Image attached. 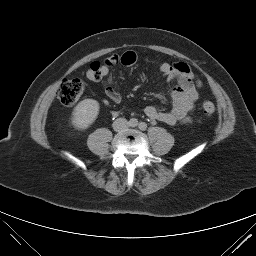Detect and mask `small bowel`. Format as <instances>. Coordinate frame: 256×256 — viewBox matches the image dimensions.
<instances>
[{
	"label": "small bowel",
	"instance_id": "obj_1",
	"mask_svg": "<svg viewBox=\"0 0 256 256\" xmlns=\"http://www.w3.org/2000/svg\"><path fill=\"white\" fill-rule=\"evenodd\" d=\"M138 60L139 56L133 51L110 56L103 63V75H108L112 67L116 64L128 67L134 65ZM160 70L168 82L176 81L177 83L171 92L173 106L170 111L163 112L153 105H148L144 109L145 114L152 120L161 121L170 126L191 123L193 121L195 103L198 99V92L195 88L194 76L190 68L185 63L172 64L163 62ZM104 91L107 97L113 102H121L122 96L112 86L111 80L104 83Z\"/></svg>",
	"mask_w": 256,
	"mask_h": 256
}]
</instances>
